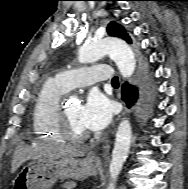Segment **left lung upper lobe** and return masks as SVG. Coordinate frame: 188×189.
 <instances>
[{
    "label": "left lung upper lobe",
    "mask_w": 188,
    "mask_h": 189,
    "mask_svg": "<svg viewBox=\"0 0 188 189\" xmlns=\"http://www.w3.org/2000/svg\"><path fill=\"white\" fill-rule=\"evenodd\" d=\"M107 32L110 36L119 37V38L124 39L128 43H132L131 38L126 33L125 29L120 24L114 21L109 23L107 27Z\"/></svg>",
    "instance_id": "1"
}]
</instances>
